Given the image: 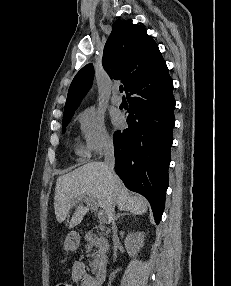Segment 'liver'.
I'll use <instances>...</instances> for the list:
<instances>
[{"label":"liver","instance_id":"obj_1","mask_svg":"<svg viewBox=\"0 0 231 286\" xmlns=\"http://www.w3.org/2000/svg\"><path fill=\"white\" fill-rule=\"evenodd\" d=\"M90 197L103 208L108 221L111 206L117 205L120 210L135 215L147 212L149 203L139 195H132L121 179L114 174L109 176L105 163L91 162L74 171L58 177L55 186L54 209L59 223L65 221L73 202ZM88 207L78 205L69 223V228L78 225L88 212Z\"/></svg>","mask_w":231,"mask_h":286}]
</instances>
